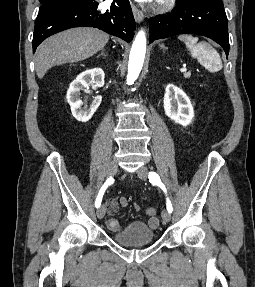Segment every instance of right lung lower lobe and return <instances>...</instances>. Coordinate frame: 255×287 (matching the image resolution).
<instances>
[{
    "instance_id": "98d812e1",
    "label": "right lung lower lobe",
    "mask_w": 255,
    "mask_h": 287,
    "mask_svg": "<svg viewBox=\"0 0 255 287\" xmlns=\"http://www.w3.org/2000/svg\"><path fill=\"white\" fill-rule=\"evenodd\" d=\"M95 1L68 3L40 10L35 21L33 52L47 37L73 27H97L130 42L136 28L129 0H114L108 10Z\"/></svg>"
}]
</instances>
